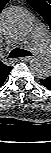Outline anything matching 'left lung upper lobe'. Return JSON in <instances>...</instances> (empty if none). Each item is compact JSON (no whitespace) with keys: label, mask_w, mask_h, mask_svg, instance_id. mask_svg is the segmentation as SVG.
Here are the masks:
<instances>
[{"label":"left lung upper lobe","mask_w":51,"mask_h":153,"mask_svg":"<svg viewBox=\"0 0 51 153\" xmlns=\"http://www.w3.org/2000/svg\"><path fill=\"white\" fill-rule=\"evenodd\" d=\"M28 3L44 18L51 29V0H27Z\"/></svg>","instance_id":"5c2ea615"}]
</instances>
